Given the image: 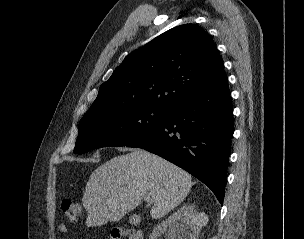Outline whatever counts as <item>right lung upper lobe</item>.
<instances>
[{"mask_svg":"<svg viewBox=\"0 0 304 239\" xmlns=\"http://www.w3.org/2000/svg\"><path fill=\"white\" fill-rule=\"evenodd\" d=\"M223 76V61L209 35L197 25H180L128 55L83 118L136 106L168 110Z\"/></svg>","mask_w":304,"mask_h":239,"instance_id":"cb5924a9","label":"right lung upper lobe"}]
</instances>
